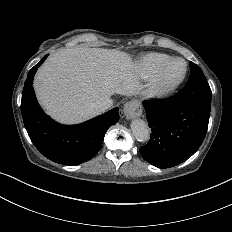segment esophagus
<instances>
[{
    "instance_id": "1",
    "label": "esophagus",
    "mask_w": 232,
    "mask_h": 232,
    "mask_svg": "<svg viewBox=\"0 0 232 232\" xmlns=\"http://www.w3.org/2000/svg\"><path fill=\"white\" fill-rule=\"evenodd\" d=\"M124 115L127 119H133L141 117L142 115V105L138 99H133L125 103Z\"/></svg>"
}]
</instances>
